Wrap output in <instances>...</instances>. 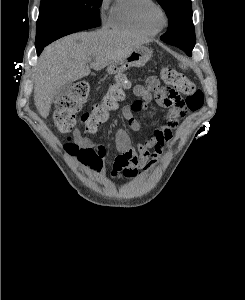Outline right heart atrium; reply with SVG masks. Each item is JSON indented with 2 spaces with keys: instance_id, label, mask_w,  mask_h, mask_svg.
Returning <instances> with one entry per match:
<instances>
[{
  "instance_id": "right-heart-atrium-1",
  "label": "right heart atrium",
  "mask_w": 245,
  "mask_h": 300,
  "mask_svg": "<svg viewBox=\"0 0 245 300\" xmlns=\"http://www.w3.org/2000/svg\"><path fill=\"white\" fill-rule=\"evenodd\" d=\"M110 0H101L100 5H99V13L101 18L104 19L105 17V10L107 9L109 5Z\"/></svg>"
}]
</instances>
